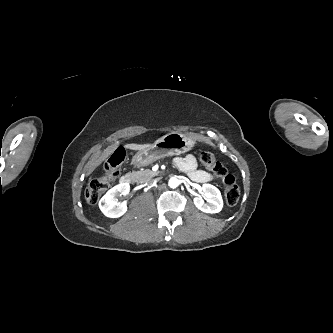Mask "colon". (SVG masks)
<instances>
[{
    "instance_id": "obj_1",
    "label": "colon",
    "mask_w": 333,
    "mask_h": 333,
    "mask_svg": "<svg viewBox=\"0 0 333 333\" xmlns=\"http://www.w3.org/2000/svg\"><path fill=\"white\" fill-rule=\"evenodd\" d=\"M125 156L126 152L123 147L117 148L110 155L104 166V176L92 180L86 190V199L89 203L96 204L110 188L111 183L120 172ZM200 162L212 175L222 181L226 202L229 205H235L240 197V189L235 182L234 176L228 172L227 168L211 152H201Z\"/></svg>"
}]
</instances>
